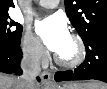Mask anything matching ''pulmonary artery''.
<instances>
[{
	"label": "pulmonary artery",
	"instance_id": "obj_1",
	"mask_svg": "<svg viewBox=\"0 0 107 89\" xmlns=\"http://www.w3.org/2000/svg\"><path fill=\"white\" fill-rule=\"evenodd\" d=\"M38 3L43 8H55L59 0H40Z\"/></svg>",
	"mask_w": 107,
	"mask_h": 89
}]
</instances>
